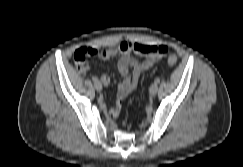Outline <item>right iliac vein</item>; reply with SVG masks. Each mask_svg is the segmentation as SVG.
<instances>
[{
  "mask_svg": "<svg viewBox=\"0 0 243 167\" xmlns=\"http://www.w3.org/2000/svg\"><path fill=\"white\" fill-rule=\"evenodd\" d=\"M95 86V89L98 91V92H101L102 91V85L98 82V83H95L94 84Z\"/></svg>",
  "mask_w": 243,
  "mask_h": 167,
  "instance_id": "63e3f726",
  "label": "right iliac vein"
}]
</instances>
